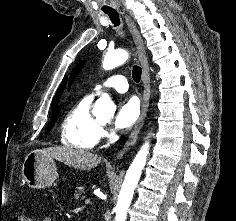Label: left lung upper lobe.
<instances>
[{
    "instance_id": "5c2ea615",
    "label": "left lung upper lobe",
    "mask_w": 236,
    "mask_h": 221,
    "mask_svg": "<svg viewBox=\"0 0 236 221\" xmlns=\"http://www.w3.org/2000/svg\"><path fill=\"white\" fill-rule=\"evenodd\" d=\"M84 65V62L81 61L79 62L76 67L73 69L72 73H71V79H74L76 77V75L80 72V70L82 69Z\"/></svg>"
}]
</instances>
